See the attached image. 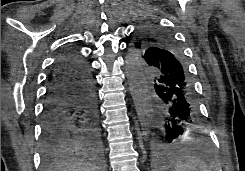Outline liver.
Returning <instances> with one entry per match:
<instances>
[{"mask_svg": "<svg viewBox=\"0 0 245 171\" xmlns=\"http://www.w3.org/2000/svg\"><path fill=\"white\" fill-rule=\"evenodd\" d=\"M49 171H100V169L96 165L81 159H72L56 164Z\"/></svg>", "mask_w": 245, "mask_h": 171, "instance_id": "obj_1", "label": "liver"}]
</instances>
